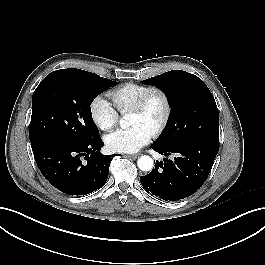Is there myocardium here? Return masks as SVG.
<instances>
[{"mask_svg":"<svg viewBox=\"0 0 265 265\" xmlns=\"http://www.w3.org/2000/svg\"><path fill=\"white\" fill-rule=\"evenodd\" d=\"M154 97H159L163 102V114L152 130L153 136L160 135L166 128L172 113L171 101L168 94L161 88L153 87L129 110L130 112L144 113Z\"/></svg>","mask_w":265,"mask_h":265,"instance_id":"1","label":"myocardium"}]
</instances>
